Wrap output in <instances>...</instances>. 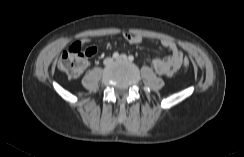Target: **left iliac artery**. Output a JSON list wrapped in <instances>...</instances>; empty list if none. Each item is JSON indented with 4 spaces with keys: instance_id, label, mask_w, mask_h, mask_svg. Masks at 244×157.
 Returning <instances> with one entry per match:
<instances>
[{
    "instance_id": "44dca946",
    "label": "left iliac artery",
    "mask_w": 244,
    "mask_h": 157,
    "mask_svg": "<svg viewBox=\"0 0 244 157\" xmlns=\"http://www.w3.org/2000/svg\"><path fill=\"white\" fill-rule=\"evenodd\" d=\"M128 58H129L130 61L134 60V56H132V55H130Z\"/></svg>"
}]
</instances>
